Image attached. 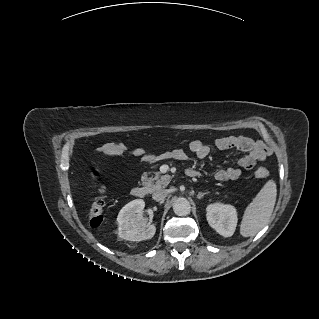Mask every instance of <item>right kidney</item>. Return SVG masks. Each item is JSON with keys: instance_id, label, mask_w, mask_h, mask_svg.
Here are the masks:
<instances>
[{"instance_id": "right-kidney-1", "label": "right kidney", "mask_w": 319, "mask_h": 319, "mask_svg": "<svg viewBox=\"0 0 319 319\" xmlns=\"http://www.w3.org/2000/svg\"><path fill=\"white\" fill-rule=\"evenodd\" d=\"M145 202L136 199L126 204L117 217L118 236L129 241H141L151 239L156 227L154 224L147 226V219L142 215Z\"/></svg>"}]
</instances>
